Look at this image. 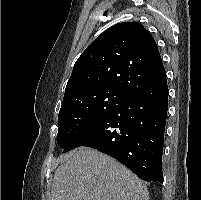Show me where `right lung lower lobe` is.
<instances>
[{
    "label": "right lung lower lobe",
    "instance_id": "obj_1",
    "mask_svg": "<svg viewBox=\"0 0 201 200\" xmlns=\"http://www.w3.org/2000/svg\"><path fill=\"white\" fill-rule=\"evenodd\" d=\"M168 110L166 76L130 96L84 129L64 149L95 148L116 158L145 181L163 182L162 154Z\"/></svg>",
    "mask_w": 201,
    "mask_h": 200
}]
</instances>
